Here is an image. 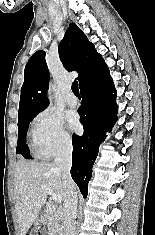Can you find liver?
Masks as SVG:
<instances>
[{"instance_id":"obj_1","label":"liver","mask_w":155,"mask_h":235,"mask_svg":"<svg viewBox=\"0 0 155 235\" xmlns=\"http://www.w3.org/2000/svg\"><path fill=\"white\" fill-rule=\"evenodd\" d=\"M43 186L60 195L64 201L61 171L55 164L19 160L14 173V198L21 235H26L46 202L47 193Z\"/></svg>"}]
</instances>
